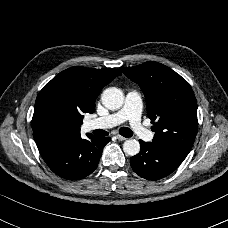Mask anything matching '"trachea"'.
<instances>
[{
  "mask_svg": "<svg viewBox=\"0 0 228 228\" xmlns=\"http://www.w3.org/2000/svg\"><path fill=\"white\" fill-rule=\"evenodd\" d=\"M119 134H121L124 137H131L133 135V132H132V130L130 128L121 127L119 129ZM107 135H108V132L102 130L100 136H107Z\"/></svg>",
  "mask_w": 228,
  "mask_h": 228,
  "instance_id": "1",
  "label": "trachea"
}]
</instances>
